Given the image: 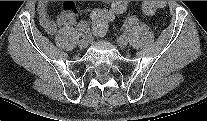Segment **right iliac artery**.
Wrapping results in <instances>:
<instances>
[{"mask_svg": "<svg viewBox=\"0 0 207 121\" xmlns=\"http://www.w3.org/2000/svg\"><path fill=\"white\" fill-rule=\"evenodd\" d=\"M88 26L86 24V22H81V24H79V27H78V31H79V35L82 36V37H86L87 34H88Z\"/></svg>", "mask_w": 207, "mask_h": 121, "instance_id": "1", "label": "right iliac artery"}]
</instances>
